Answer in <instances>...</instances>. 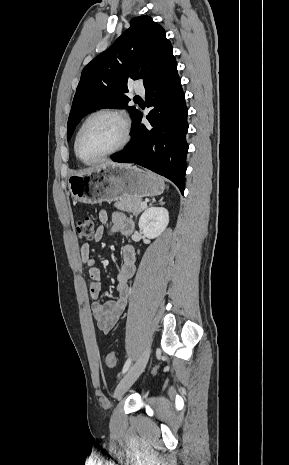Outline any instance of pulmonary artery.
<instances>
[{"label": "pulmonary artery", "mask_w": 289, "mask_h": 465, "mask_svg": "<svg viewBox=\"0 0 289 465\" xmlns=\"http://www.w3.org/2000/svg\"><path fill=\"white\" fill-rule=\"evenodd\" d=\"M135 92L138 93V94H144L145 89H144L143 85L137 84L135 86Z\"/></svg>", "instance_id": "obj_1"}]
</instances>
